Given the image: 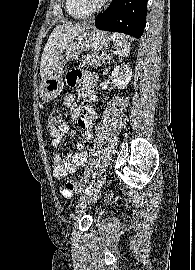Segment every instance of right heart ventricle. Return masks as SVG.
Returning <instances> with one entry per match:
<instances>
[{"instance_id": "e07e8e85", "label": "right heart ventricle", "mask_w": 195, "mask_h": 270, "mask_svg": "<svg viewBox=\"0 0 195 270\" xmlns=\"http://www.w3.org/2000/svg\"><path fill=\"white\" fill-rule=\"evenodd\" d=\"M65 6L68 14L74 19H85L93 14L81 5L80 0H66Z\"/></svg>"}]
</instances>
